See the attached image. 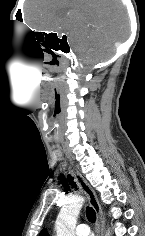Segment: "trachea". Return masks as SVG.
Returning a JSON list of instances; mask_svg holds the SVG:
<instances>
[{"label": "trachea", "mask_w": 145, "mask_h": 236, "mask_svg": "<svg viewBox=\"0 0 145 236\" xmlns=\"http://www.w3.org/2000/svg\"><path fill=\"white\" fill-rule=\"evenodd\" d=\"M68 181L73 188H77V185L74 182V178L71 175H68ZM86 216L91 223H94L96 221V213L92 207L86 208Z\"/></svg>", "instance_id": "3493384b"}]
</instances>
